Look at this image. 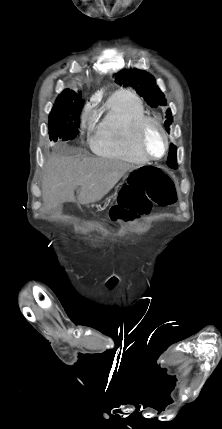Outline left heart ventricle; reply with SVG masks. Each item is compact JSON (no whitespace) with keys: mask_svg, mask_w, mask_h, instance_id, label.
<instances>
[{"mask_svg":"<svg viewBox=\"0 0 222 429\" xmlns=\"http://www.w3.org/2000/svg\"><path fill=\"white\" fill-rule=\"evenodd\" d=\"M144 145L148 152L155 157H159L163 154L165 150V140L156 126H148L144 135Z\"/></svg>","mask_w":222,"mask_h":429,"instance_id":"1","label":"left heart ventricle"}]
</instances>
